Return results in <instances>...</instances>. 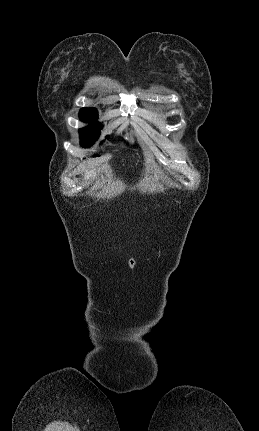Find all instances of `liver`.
<instances>
[{
  "mask_svg": "<svg viewBox=\"0 0 259 431\" xmlns=\"http://www.w3.org/2000/svg\"><path fill=\"white\" fill-rule=\"evenodd\" d=\"M95 176H96V170L94 169V170H91L85 174V179H89V178L95 177Z\"/></svg>",
  "mask_w": 259,
  "mask_h": 431,
  "instance_id": "1",
  "label": "liver"
}]
</instances>
